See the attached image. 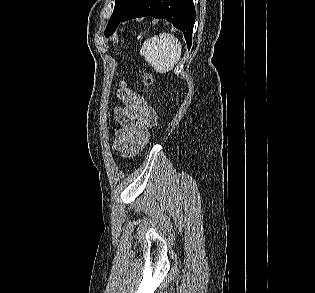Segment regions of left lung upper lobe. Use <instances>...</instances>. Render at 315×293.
Listing matches in <instances>:
<instances>
[{
  "label": "left lung upper lobe",
  "mask_w": 315,
  "mask_h": 293,
  "mask_svg": "<svg viewBox=\"0 0 315 293\" xmlns=\"http://www.w3.org/2000/svg\"><path fill=\"white\" fill-rule=\"evenodd\" d=\"M139 0H115L113 14L105 30L108 37L114 33L121 19L137 4Z\"/></svg>",
  "instance_id": "obj_1"
}]
</instances>
